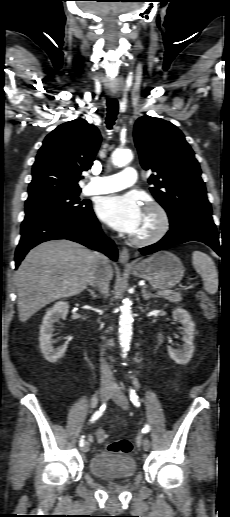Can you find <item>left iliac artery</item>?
<instances>
[{
  "instance_id": "44dca946",
  "label": "left iliac artery",
  "mask_w": 230,
  "mask_h": 517,
  "mask_svg": "<svg viewBox=\"0 0 230 517\" xmlns=\"http://www.w3.org/2000/svg\"><path fill=\"white\" fill-rule=\"evenodd\" d=\"M129 397H130V400L131 402L136 406V407H139L140 406V402H139V398L135 392V390L133 389H130V392H129ZM150 431V426L148 424L145 425V427L143 428V432L144 433H148Z\"/></svg>"
}]
</instances>
